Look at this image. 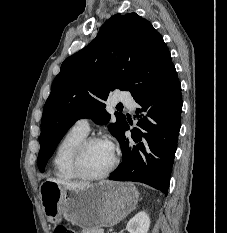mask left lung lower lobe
<instances>
[{"label": "left lung lower lobe", "mask_w": 227, "mask_h": 233, "mask_svg": "<svg viewBox=\"0 0 227 233\" xmlns=\"http://www.w3.org/2000/svg\"><path fill=\"white\" fill-rule=\"evenodd\" d=\"M139 128L125 137L128 123L118 137L122 163L110 180L142 182L167 195L179 130L181 127V84L172 65L150 89L134 97Z\"/></svg>", "instance_id": "1"}]
</instances>
